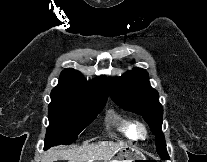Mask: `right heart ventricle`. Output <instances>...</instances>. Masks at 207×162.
Segmentation results:
<instances>
[{"instance_id":"obj_1","label":"right heart ventricle","mask_w":207,"mask_h":162,"mask_svg":"<svg viewBox=\"0 0 207 162\" xmlns=\"http://www.w3.org/2000/svg\"><path fill=\"white\" fill-rule=\"evenodd\" d=\"M108 123L128 139H135V123L133 120L121 117L119 115H111L108 119Z\"/></svg>"}]
</instances>
